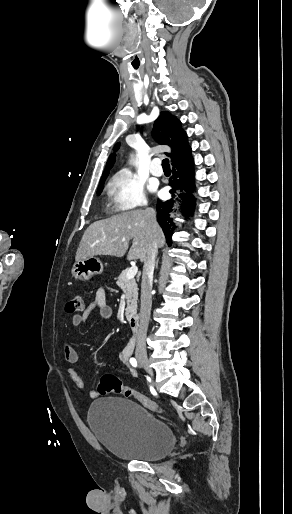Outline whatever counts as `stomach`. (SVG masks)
Returning a JSON list of instances; mask_svg holds the SVG:
<instances>
[{
	"instance_id": "0dacf381",
	"label": "stomach",
	"mask_w": 292,
	"mask_h": 514,
	"mask_svg": "<svg viewBox=\"0 0 292 514\" xmlns=\"http://www.w3.org/2000/svg\"><path fill=\"white\" fill-rule=\"evenodd\" d=\"M103 264L99 258L89 256L75 262L72 268V274L76 280H91L96 274H102Z\"/></svg>"
}]
</instances>
